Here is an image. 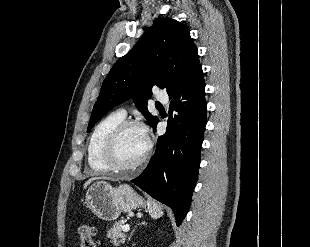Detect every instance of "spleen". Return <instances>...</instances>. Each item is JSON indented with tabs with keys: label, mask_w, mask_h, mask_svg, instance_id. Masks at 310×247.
<instances>
[{
	"label": "spleen",
	"mask_w": 310,
	"mask_h": 247,
	"mask_svg": "<svg viewBox=\"0 0 310 247\" xmlns=\"http://www.w3.org/2000/svg\"><path fill=\"white\" fill-rule=\"evenodd\" d=\"M147 207L148 212L153 219H158L163 216L162 208L157 202L149 199L147 200Z\"/></svg>",
	"instance_id": "1"
}]
</instances>
